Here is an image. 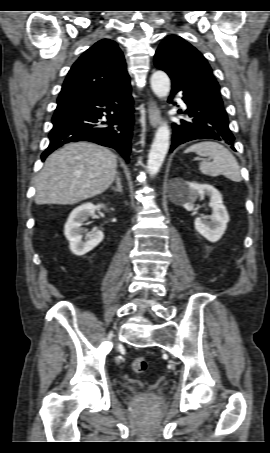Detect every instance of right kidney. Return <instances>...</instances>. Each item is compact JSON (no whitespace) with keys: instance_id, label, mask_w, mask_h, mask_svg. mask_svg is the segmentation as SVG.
<instances>
[{"instance_id":"1","label":"right kidney","mask_w":270,"mask_h":453,"mask_svg":"<svg viewBox=\"0 0 270 453\" xmlns=\"http://www.w3.org/2000/svg\"><path fill=\"white\" fill-rule=\"evenodd\" d=\"M97 208H105V205L85 203L75 208L69 215L64 226V235L69 241L70 250L77 256H83L94 249L104 238L100 230L94 231L89 238L82 240V233L85 229L82 227L89 216H93Z\"/></svg>"}]
</instances>
